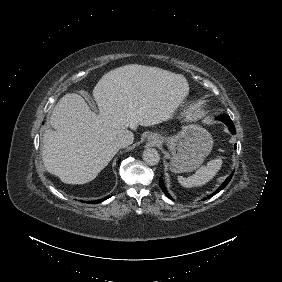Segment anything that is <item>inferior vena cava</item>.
I'll use <instances>...</instances> for the list:
<instances>
[{"mask_svg":"<svg viewBox=\"0 0 282 282\" xmlns=\"http://www.w3.org/2000/svg\"><path fill=\"white\" fill-rule=\"evenodd\" d=\"M134 140L132 132L125 130L113 138V143L117 148H125L132 144Z\"/></svg>","mask_w":282,"mask_h":282,"instance_id":"inferior-vena-cava-1","label":"inferior vena cava"}]
</instances>
